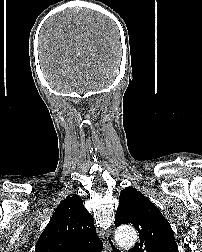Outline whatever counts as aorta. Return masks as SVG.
I'll use <instances>...</instances> for the list:
<instances>
[{"instance_id": "762f6f07", "label": "aorta", "mask_w": 202, "mask_h": 252, "mask_svg": "<svg viewBox=\"0 0 202 252\" xmlns=\"http://www.w3.org/2000/svg\"><path fill=\"white\" fill-rule=\"evenodd\" d=\"M115 239L119 245L131 247L137 242L138 236L134 228L125 226L116 230Z\"/></svg>"}]
</instances>
